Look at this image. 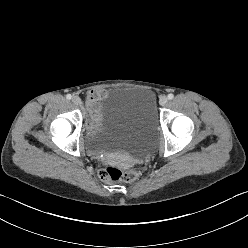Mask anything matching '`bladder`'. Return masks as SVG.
<instances>
[{"label":"bladder","mask_w":248,"mask_h":248,"mask_svg":"<svg viewBox=\"0 0 248 248\" xmlns=\"http://www.w3.org/2000/svg\"><path fill=\"white\" fill-rule=\"evenodd\" d=\"M157 119L151 91L125 88L102 104L100 124L91 142L96 150L142 157L155 147Z\"/></svg>","instance_id":"obj_1"}]
</instances>
